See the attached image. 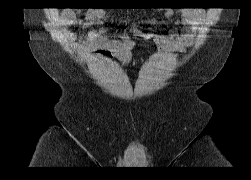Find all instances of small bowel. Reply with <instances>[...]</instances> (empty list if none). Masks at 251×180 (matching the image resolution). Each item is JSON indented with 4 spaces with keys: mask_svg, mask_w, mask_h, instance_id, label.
<instances>
[{
    "mask_svg": "<svg viewBox=\"0 0 251 180\" xmlns=\"http://www.w3.org/2000/svg\"><path fill=\"white\" fill-rule=\"evenodd\" d=\"M106 12L103 9L89 10L85 13L82 22L86 25H99ZM78 13L67 9L61 13L60 22L64 26L74 25L78 22ZM167 18L177 16L175 24L183 26L180 32H170L166 34L145 33L146 39L152 40L165 51H185L190 47L195 39V33L199 30L203 22V12L195 9H185L178 12L171 10L165 13ZM103 30H91L86 38V46L94 48L99 54L105 57L116 55L120 60L127 62L130 52L134 47V42L128 35L118 40H111L105 36ZM64 36L69 40H75L76 35L72 31H64Z\"/></svg>",
    "mask_w": 251,
    "mask_h": 180,
    "instance_id": "small-bowel-1",
    "label": "small bowel"
}]
</instances>
